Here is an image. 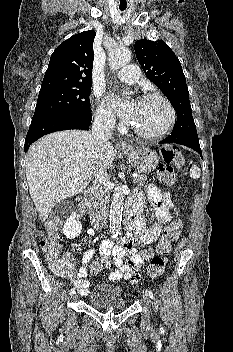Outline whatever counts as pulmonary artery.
<instances>
[{"mask_svg":"<svg viewBox=\"0 0 233 352\" xmlns=\"http://www.w3.org/2000/svg\"><path fill=\"white\" fill-rule=\"evenodd\" d=\"M117 77L124 83L134 84L140 78V70L135 65H128L117 72Z\"/></svg>","mask_w":233,"mask_h":352,"instance_id":"pulmonary-artery-1","label":"pulmonary artery"}]
</instances>
